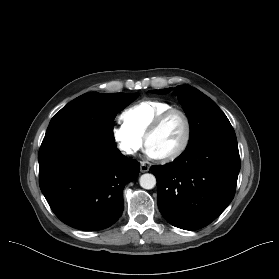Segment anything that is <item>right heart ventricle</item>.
<instances>
[{"instance_id": "1", "label": "right heart ventricle", "mask_w": 279, "mask_h": 279, "mask_svg": "<svg viewBox=\"0 0 279 279\" xmlns=\"http://www.w3.org/2000/svg\"><path fill=\"white\" fill-rule=\"evenodd\" d=\"M172 107V104L160 99H144L125 109L121 114V119L129 128L144 138L154 119L161 112Z\"/></svg>"}]
</instances>
